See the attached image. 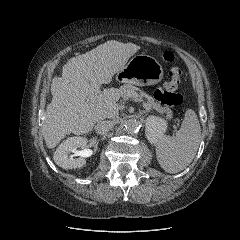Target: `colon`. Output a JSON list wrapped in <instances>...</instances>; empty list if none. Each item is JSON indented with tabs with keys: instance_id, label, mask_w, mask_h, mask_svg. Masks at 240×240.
<instances>
[{
	"instance_id": "5ec220e1",
	"label": "colon",
	"mask_w": 240,
	"mask_h": 240,
	"mask_svg": "<svg viewBox=\"0 0 240 240\" xmlns=\"http://www.w3.org/2000/svg\"><path fill=\"white\" fill-rule=\"evenodd\" d=\"M162 59L164 62L170 63L174 60V54L171 51H165ZM169 76L170 80L155 91V98L165 106L174 107L183 102V96L177 91L181 70L178 67H171Z\"/></svg>"
}]
</instances>
